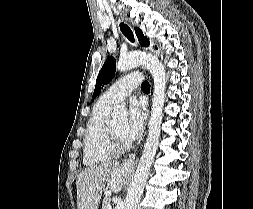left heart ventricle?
<instances>
[{"mask_svg":"<svg viewBox=\"0 0 253 209\" xmlns=\"http://www.w3.org/2000/svg\"><path fill=\"white\" fill-rule=\"evenodd\" d=\"M125 125H126V121L123 119V120H118L114 123L111 124L115 134L118 136V138L124 142V143H128L124 136H123V131H124V128H125Z\"/></svg>","mask_w":253,"mask_h":209,"instance_id":"left-heart-ventricle-1","label":"left heart ventricle"}]
</instances>
